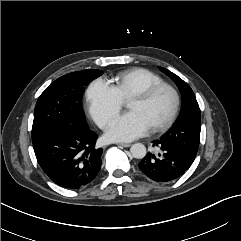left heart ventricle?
<instances>
[{"label":"left heart ventricle","mask_w":241,"mask_h":241,"mask_svg":"<svg viewBox=\"0 0 241 241\" xmlns=\"http://www.w3.org/2000/svg\"><path fill=\"white\" fill-rule=\"evenodd\" d=\"M128 108L142 114L153 127L163 123L169 117L173 108V96L169 90L163 89L148 101H129Z\"/></svg>","instance_id":"obj_1"}]
</instances>
